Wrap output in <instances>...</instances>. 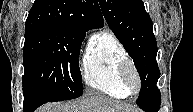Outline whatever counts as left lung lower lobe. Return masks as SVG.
<instances>
[{
    "mask_svg": "<svg viewBox=\"0 0 193 112\" xmlns=\"http://www.w3.org/2000/svg\"><path fill=\"white\" fill-rule=\"evenodd\" d=\"M161 102V95L160 92H158V95L155 99L146 102L144 104L138 105L142 110L146 112H158L160 109V103Z\"/></svg>",
    "mask_w": 193,
    "mask_h": 112,
    "instance_id": "1",
    "label": "left lung lower lobe"
}]
</instances>
